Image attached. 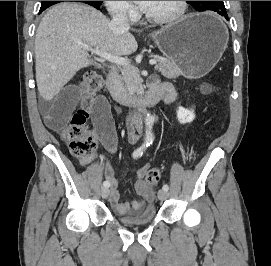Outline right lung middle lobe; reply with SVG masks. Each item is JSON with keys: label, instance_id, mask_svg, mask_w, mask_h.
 <instances>
[{"label": "right lung middle lobe", "instance_id": "1", "mask_svg": "<svg viewBox=\"0 0 271 266\" xmlns=\"http://www.w3.org/2000/svg\"><path fill=\"white\" fill-rule=\"evenodd\" d=\"M59 2H61V1H42L41 8L49 7V6L56 4V3H59ZM93 2L98 3V4L102 3V1H93Z\"/></svg>", "mask_w": 271, "mask_h": 266}]
</instances>
